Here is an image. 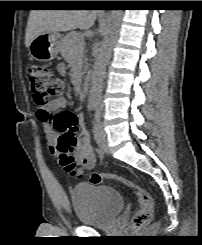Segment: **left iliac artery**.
Listing matches in <instances>:
<instances>
[{"mask_svg": "<svg viewBox=\"0 0 202 245\" xmlns=\"http://www.w3.org/2000/svg\"><path fill=\"white\" fill-rule=\"evenodd\" d=\"M95 107H96V119L99 120L101 117V108L100 105H97Z\"/></svg>", "mask_w": 202, "mask_h": 245, "instance_id": "left-iliac-artery-1", "label": "left iliac artery"}]
</instances>
